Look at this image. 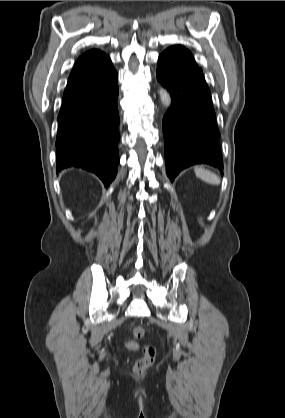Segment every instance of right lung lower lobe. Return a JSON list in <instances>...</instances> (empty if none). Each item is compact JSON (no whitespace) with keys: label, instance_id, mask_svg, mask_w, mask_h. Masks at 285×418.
<instances>
[{"label":"right lung lower lobe","instance_id":"obj_1","mask_svg":"<svg viewBox=\"0 0 285 418\" xmlns=\"http://www.w3.org/2000/svg\"><path fill=\"white\" fill-rule=\"evenodd\" d=\"M117 72L63 97L56 137L57 171L80 167L95 173L105 187L119 164L120 123Z\"/></svg>","mask_w":285,"mask_h":418}]
</instances>
